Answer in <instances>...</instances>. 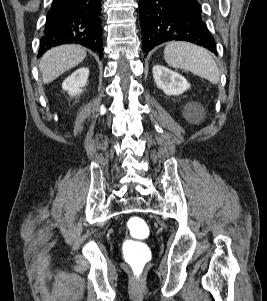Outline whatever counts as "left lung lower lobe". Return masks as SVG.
Returning a JSON list of instances; mask_svg holds the SVG:
<instances>
[{
  "instance_id": "left-lung-lower-lobe-1",
  "label": "left lung lower lobe",
  "mask_w": 267,
  "mask_h": 301,
  "mask_svg": "<svg viewBox=\"0 0 267 301\" xmlns=\"http://www.w3.org/2000/svg\"><path fill=\"white\" fill-rule=\"evenodd\" d=\"M143 50L171 40L196 43L216 52L197 0H139Z\"/></svg>"
}]
</instances>
